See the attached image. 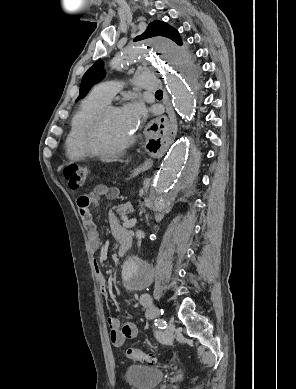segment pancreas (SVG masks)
<instances>
[{
  "label": "pancreas",
  "mask_w": 296,
  "mask_h": 389,
  "mask_svg": "<svg viewBox=\"0 0 296 389\" xmlns=\"http://www.w3.org/2000/svg\"><path fill=\"white\" fill-rule=\"evenodd\" d=\"M133 211H134L133 206L130 203L121 204L118 205L117 207V213L119 214V216L123 221L127 220L128 219L127 214Z\"/></svg>",
  "instance_id": "cf45deb5"
}]
</instances>
